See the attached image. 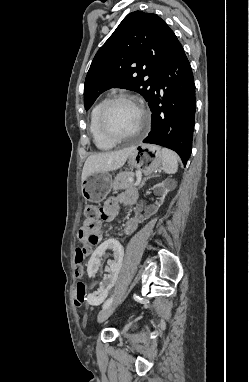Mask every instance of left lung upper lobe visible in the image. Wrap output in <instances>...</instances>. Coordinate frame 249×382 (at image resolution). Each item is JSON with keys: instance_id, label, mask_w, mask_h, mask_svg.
<instances>
[{"instance_id": "left-lung-upper-lobe-1", "label": "left lung upper lobe", "mask_w": 249, "mask_h": 382, "mask_svg": "<svg viewBox=\"0 0 249 382\" xmlns=\"http://www.w3.org/2000/svg\"><path fill=\"white\" fill-rule=\"evenodd\" d=\"M177 41L158 15L142 11L128 14L91 63L84 86L85 109L113 87L136 91L148 102Z\"/></svg>"}]
</instances>
